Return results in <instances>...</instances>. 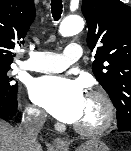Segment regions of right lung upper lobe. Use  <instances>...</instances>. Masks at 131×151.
Listing matches in <instances>:
<instances>
[{
  "label": "right lung upper lobe",
  "mask_w": 131,
  "mask_h": 151,
  "mask_svg": "<svg viewBox=\"0 0 131 151\" xmlns=\"http://www.w3.org/2000/svg\"><path fill=\"white\" fill-rule=\"evenodd\" d=\"M35 18L33 0H0V65H10Z\"/></svg>",
  "instance_id": "cb5924a9"
}]
</instances>
